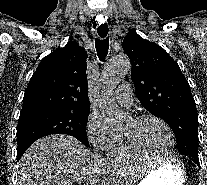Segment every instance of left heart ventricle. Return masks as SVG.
Masks as SVG:
<instances>
[{
  "label": "left heart ventricle",
  "instance_id": "1",
  "mask_svg": "<svg viewBox=\"0 0 207 185\" xmlns=\"http://www.w3.org/2000/svg\"><path fill=\"white\" fill-rule=\"evenodd\" d=\"M123 132L130 134L141 148L155 156L164 155L170 147L167 131L155 120H147L140 124H135L131 120Z\"/></svg>",
  "mask_w": 207,
  "mask_h": 185
}]
</instances>
